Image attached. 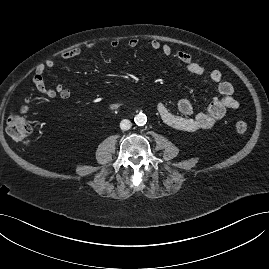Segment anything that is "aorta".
<instances>
[{
  "instance_id": "762f6f07",
  "label": "aorta",
  "mask_w": 269,
  "mask_h": 269,
  "mask_svg": "<svg viewBox=\"0 0 269 269\" xmlns=\"http://www.w3.org/2000/svg\"><path fill=\"white\" fill-rule=\"evenodd\" d=\"M134 121L137 125L142 126L146 123L147 117L143 113H139L135 116Z\"/></svg>"
}]
</instances>
